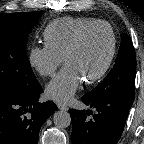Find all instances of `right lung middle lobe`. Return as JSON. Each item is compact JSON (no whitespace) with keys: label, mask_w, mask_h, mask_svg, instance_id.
Here are the masks:
<instances>
[{"label":"right lung middle lobe","mask_w":144,"mask_h":144,"mask_svg":"<svg viewBox=\"0 0 144 144\" xmlns=\"http://www.w3.org/2000/svg\"><path fill=\"white\" fill-rule=\"evenodd\" d=\"M42 14V11L0 14V90L26 91L38 84L25 47Z\"/></svg>","instance_id":"right-lung-middle-lobe-1"}]
</instances>
